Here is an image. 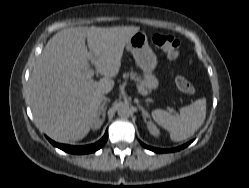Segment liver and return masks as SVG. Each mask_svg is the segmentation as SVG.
Here are the masks:
<instances>
[{"label":"liver","mask_w":249,"mask_h":188,"mask_svg":"<svg viewBox=\"0 0 249 188\" xmlns=\"http://www.w3.org/2000/svg\"><path fill=\"white\" fill-rule=\"evenodd\" d=\"M139 27H74L46 44L30 78V105L37 127L56 142L83 139L109 93L124 47ZM87 38L88 49L85 46ZM89 62L104 76L94 81Z\"/></svg>","instance_id":"6515ba94"}]
</instances>
